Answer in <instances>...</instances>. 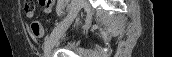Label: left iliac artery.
<instances>
[{
    "instance_id": "obj_1",
    "label": "left iliac artery",
    "mask_w": 172,
    "mask_h": 57,
    "mask_svg": "<svg viewBox=\"0 0 172 57\" xmlns=\"http://www.w3.org/2000/svg\"><path fill=\"white\" fill-rule=\"evenodd\" d=\"M64 0H60L57 5V13L60 15L62 13L61 9L63 8Z\"/></svg>"
}]
</instances>
